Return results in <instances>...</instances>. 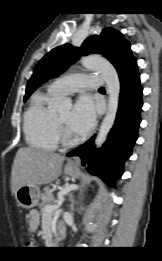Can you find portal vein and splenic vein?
Listing matches in <instances>:
<instances>
[{
  "label": "portal vein and splenic vein",
  "instance_id": "obj_1",
  "mask_svg": "<svg viewBox=\"0 0 162 261\" xmlns=\"http://www.w3.org/2000/svg\"><path fill=\"white\" fill-rule=\"evenodd\" d=\"M78 188L77 185H69L66 186L65 188L60 189L59 193H58V202L55 205H46L44 208V211L46 213H52L55 210H57L63 203L64 201V195L67 194L68 192L72 191V190H76Z\"/></svg>",
  "mask_w": 162,
  "mask_h": 261
}]
</instances>
